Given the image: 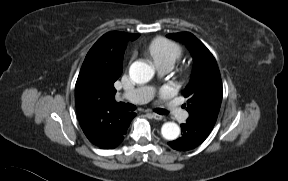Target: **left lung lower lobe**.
<instances>
[{
	"mask_svg": "<svg viewBox=\"0 0 288 181\" xmlns=\"http://www.w3.org/2000/svg\"><path fill=\"white\" fill-rule=\"evenodd\" d=\"M182 136L169 142V146L179 151H188L200 145L209 135L213 126L188 119L181 125Z\"/></svg>",
	"mask_w": 288,
	"mask_h": 181,
	"instance_id": "left-lung-lower-lobe-1",
	"label": "left lung lower lobe"
}]
</instances>
